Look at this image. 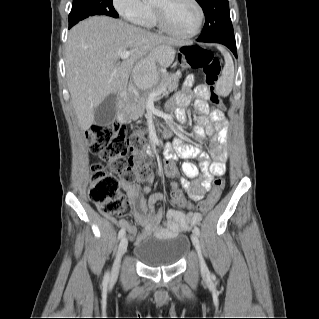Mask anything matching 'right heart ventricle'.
<instances>
[{
  "label": "right heart ventricle",
  "instance_id": "1",
  "mask_svg": "<svg viewBox=\"0 0 319 319\" xmlns=\"http://www.w3.org/2000/svg\"><path fill=\"white\" fill-rule=\"evenodd\" d=\"M157 20L154 14L153 5H147V13L144 17V26H154L156 25Z\"/></svg>",
  "mask_w": 319,
  "mask_h": 319
}]
</instances>
